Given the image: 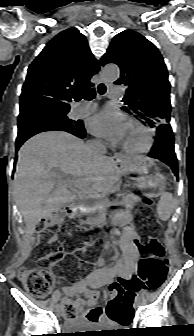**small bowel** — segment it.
<instances>
[{"label":"small bowel","instance_id":"1","mask_svg":"<svg viewBox=\"0 0 194 336\" xmlns=\"http://www.w3.org/2000/svg\"><path fill=\"white\" fill-rule=\"evenodd\" d=\"M119 220L126 223L123 233L119 239V252H116L112 259L111 266H100L93 269L89 274L70 286L64 287L63 292L66 299L78 295H84L86 301H79L77 309L70 315V318L77 320L80 318L88 322V326L98 325L101 322L112 324V320H107L101 314V310L96 306L99 298L98 289L112 283L115 280H130L137 269L139 258L136 245L137 234L133 227L128 224L129 216L127 214L119 216Z\"/></svg>","mask_w":194,"mask_h":336}]
</instances>
